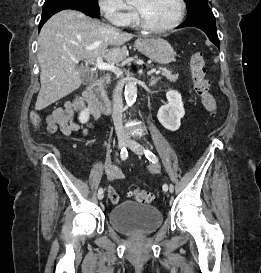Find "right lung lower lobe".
<instances>
[{
    "instance_id": "1",
    "label": "right lung lower lobe",
    "mask_w": 261,
    "mask_h": 273,
    "mask_svg": "<svg viewBox=\"0 0 261 273\" xmlns=\"http://www.w3.org/2000/svg\"><path fill=\"white\" fill-rule=\"evenodd\" d=\"M70 9L78 10L83 12L84 14L90 16V17H95L98 18L100 16V13H97L91 9H89L86 4L83 2V0H71L70 2ZM54 15V14H53ZM52 15H47L41 17V21L39 23V30L43 26V24L51 17Z\"/></svg>"
}]
</instances>
